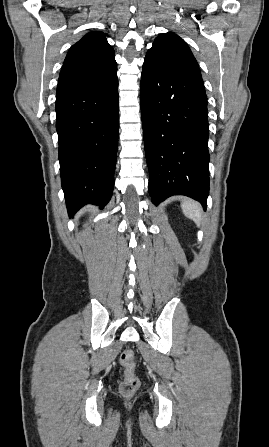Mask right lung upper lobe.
<instances>
[{"label": "right lung upper lobe", "instance_id": "right-lung-upper-lobe-1", "mask_svg": "<svg viewBox=\"0 0 269 447\" xmlns=\"http://www.w3.org/2000/svg\"><path fill=\"white\" fill-rule=\"evenodd\" d=\"M114 56L115 52L108 44L104 33H88L70 48L59 81L107 71L117 66Z\"/></svg>", "mask_w": 269, "mask_h": 447}]
</instances>
